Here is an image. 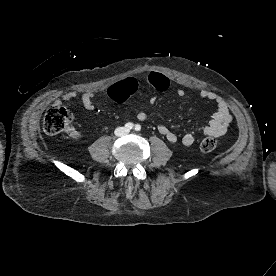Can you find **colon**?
I'll list each match as a JSON object with an SVG mask.
<instances>
[{
	"label": "colon",
	"instance_id": "colon-1",
	"mask_svg": "<svg viewBox=\"0 0 276 276\" xmlns=\"http://www.w3.org/2000/svg\"><path fill=\"white\" fill-rule=\"evenodd\" d=\"M71 125V113L60 104L51 105L45 112L43 118V129L48 135H57L65 132ZM218 142L213 137L204 138L199 145L202 152L209 153L214 151Z\"/></svg>",
	"mask_w": 276,
	"mask_h": 276
}]
</instances>
